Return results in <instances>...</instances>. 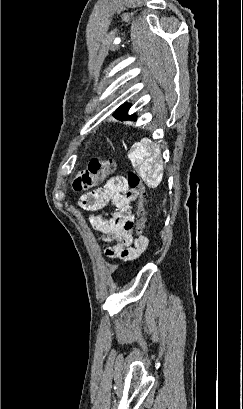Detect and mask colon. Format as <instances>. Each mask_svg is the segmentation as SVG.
Returning <instances> with one entry per match:
<instances>
[{"label": "colon", "mask_w": 243, "mask_h": 409, "mask_svg": "<svg viewBox=\"0 0 243 409\" xmlns=\"http://www.w3.org/2000/svg\"><path fill=\"white\" fill-rule=\"evenodd\" d=\"M116 165L112 161H101L93 159L89 162L86 169L77 173L73 181V189L77 192L92 189L97 183L104 180L109 174L113 173ZM130 189L138 193V206L135 215L136 238L141 239L145 228L146 212L144 206L145 188L141 178L135 172H130L127 176Z\"/></svg>", "instance_id": "obj_1"}]
</instances>
